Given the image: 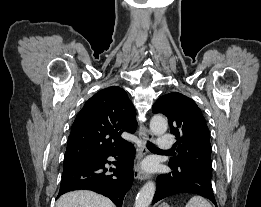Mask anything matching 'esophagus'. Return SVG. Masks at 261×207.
I'll return each mask as SVG.
<instances>
[{"label":"esophagus","instance_id":"esophagus-1","mask_svg":"<svg viewBox=\"0 0 261 207\" xmlns=\"http://www.w3.org/2000/svg\"><path fill=\"white\" fill-rule=\"evenodd\" d=\"M139 136H140V139H141L144 147H145L147 141H151L153 139V134L143 124H141L139 127ZM146 153H147V150L144 151V154H146ZM134 178L138 179V180H146L149 178V175L140 168V160H138L134 166Z\"/></svg>","mask_w":261,"mask_h":207}]
</instances>
